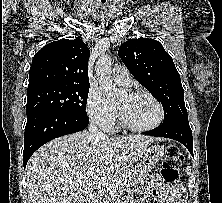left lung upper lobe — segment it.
Returning <instances> with one entry per match:
<instances>
[{
  "label": "left lung upper lobe",
  "mask_w": 222,
  "mask_h": 203,
  "mask_svg": "<svg viewBox=\"0 0 222 203\" xmlns=\"http://www.w3.org/2000/svg\"><path fill=\"white\" fill-rule=\"evenodd\" d=\"M118 55L137 81L162 103L163 123L188 121L180 75L159 41L129 39L120 46Z\"/></svg>",
  "instance_id": "left-lung-upper-lobe-1"
}]
</instances>
